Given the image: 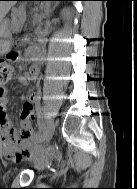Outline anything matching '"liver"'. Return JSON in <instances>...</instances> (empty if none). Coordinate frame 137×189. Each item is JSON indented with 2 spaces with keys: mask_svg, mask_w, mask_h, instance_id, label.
<instances>
[{
  "mask_svg": "<svg viewBox=\"0 0 137 189\" xmlns=\"http://www.w3.org/2000/svg\"><path fill=\"white\" fill-rule=\"evenodd\" d=\"M15 3V1H0V23L3 21L10 8L15 5Z\"/></svg>",
  "mask_w": 137,
  "mask_h": 189,
  "instance_id": "liver-1",
  "label": "liver"
}]
</instances>
